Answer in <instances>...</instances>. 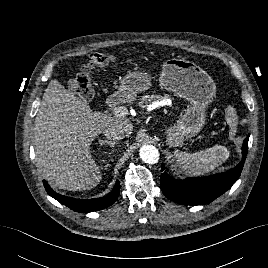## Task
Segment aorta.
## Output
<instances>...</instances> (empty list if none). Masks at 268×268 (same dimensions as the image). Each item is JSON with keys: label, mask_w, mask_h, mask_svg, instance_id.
<instances>
[{"label": "aorta", "mask_w": 268, "mask_h": 268, "mask_svg": "<svg viewBox=\"0 0 268 268\" xmlns=\"http://www.w3.org/2000/svg\"><path fill=\"white\" fill-rule=\"evenodd\" d=\"M140 158L148 164H155L159 160V151L153 145H144L139 151Z\"/></svg>", "instance_id": "762f6f07"}]
</instances>
